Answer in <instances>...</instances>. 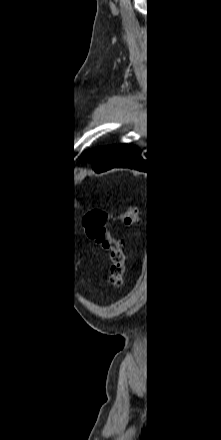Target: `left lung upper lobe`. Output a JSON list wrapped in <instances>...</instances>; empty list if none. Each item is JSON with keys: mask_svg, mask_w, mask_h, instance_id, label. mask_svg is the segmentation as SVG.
<instances>
[{"mask_svg": "<svg viewBox=\"0 0 221 440\" xmlns=\"http://www.w3.org/2000/svg\"><path fill=\"white\" fill-rule=\"evenodd\" d=\"M127 144L99 147L85 152L86 158L93 163L96 172L103 171L120 161L128 152Z\"/></svg>", "mask_w": 221, "mask_h": 440, "instance_id": "1", "label": "left lung upper lobe"}]
</instances>
